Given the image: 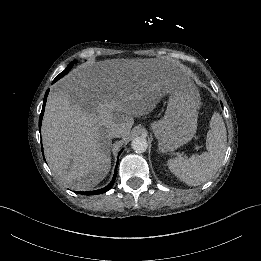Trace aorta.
Wrapping results in <instances>:
<instances>
[{
    "label": "aorta",
    "instance_id": "1",
    "mask_svg": "<svg viewBox=\"0 0 261 261\" xmlns=\"http://www.w3.org/2000/svg\"><path fill=\"white\" fill-rule=\"evenodd\" d=\"M131 147L136 153H144L148 148L146 138L142 136L135 137L131 142Z\"/></svg>",
    "mask_w": 261,
    "mask_h": 261
}]
</instances>
